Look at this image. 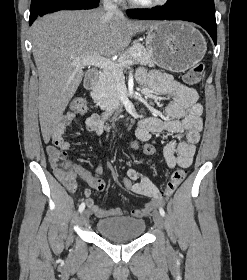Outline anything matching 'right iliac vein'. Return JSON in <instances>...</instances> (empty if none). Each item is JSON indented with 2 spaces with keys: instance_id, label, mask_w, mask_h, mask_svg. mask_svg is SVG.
I'll return each mask as SVG.
<instances>
[{
  "instance_id": "1",
  "label": "right iliac vein",
  "mask_w": 247,
  "mask_h": 280,
  "mask_svg": "<svg viewBox=\"0 0 247 280\" xmlns=\"http://www.w3.org/2000/svg\"><path fill=\"white\" fill-rule=\"evenodd\" d=\"M89 216H90V212L88 210H85L82 212V214L80 216V222L82 225H86L88 223Z\"/></svg>"
}]
</instances>
